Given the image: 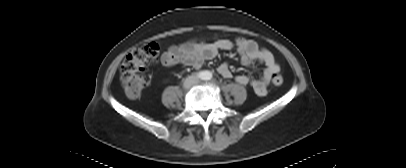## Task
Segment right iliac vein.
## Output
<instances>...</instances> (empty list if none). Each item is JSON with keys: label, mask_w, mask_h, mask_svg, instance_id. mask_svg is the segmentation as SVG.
I'll list each match as a JSON object with an SVG mask.
<instances>
[{"label": "right iliac vein", "mask_w": 406, "mask_h": 168, "mask_svg": "<svg viewBox=\"0 0 406 168\" xmlns=\"http://www.w3.org/2000/svg\"><path fill=\"white\" fill-rule=\"evenodd\" d=\"M191 84H192L191 79H188V80L185 81L184 86H185L186 88H189V87L191 86Z\"/></svg>", "instance_id": "right-iliac-vein-1"}]
</instances>
